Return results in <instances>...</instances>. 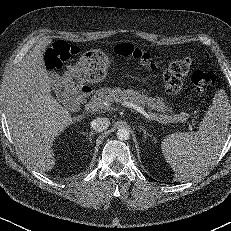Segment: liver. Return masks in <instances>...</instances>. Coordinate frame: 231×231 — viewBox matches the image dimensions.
Listing matches in <instances>:
<instances>
[{"instance_id": "liver-1", "label": "liver", "mask_w": 231, "mask_h": 231, "mask_svg": "<svg viewBox=\"0 0 231 231\" xmlns=\"http://www.w3.org/2000/svg\"><path fill=\"white\" fill-rule=\"evenodd\" d=\"M49 40L36 44L14 68L6 92V116L20 152L41 171L55 166L56 137L84 115L72 117L51 95L52 80L44 64Z\"/></svg>"}]
</instances>
